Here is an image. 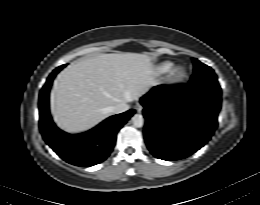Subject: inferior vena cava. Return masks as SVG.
Segmentation results:
<instances>
[{"label": "inferior vena cava", "instance_id": "inferior-vena-cava-1", "mask_svg": "<svg viewBox=\"0 0 260 205\" xmlns=\"http://www.w3.org/2000/svg\"><path fill=\"white\" fill-rule=\"evenodd\" d=\"M128 109H129V105H127L126 103H119L114 106L108 107L107 111L111 114H119L127 111Z\"/></svg>", "mask_w": 260, "mask_h": 205}]
</instances>
